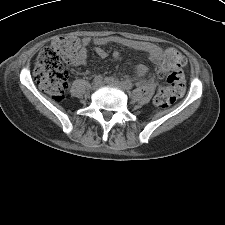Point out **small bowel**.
Listing matches in <instances>:
<instances>
[{
    "label": "small bowel",
    "instance_id": "1",
    "mask_svg": "<svg viewBox=\"0 0 225 225\" xmlns=\"http://www.w3.org/2000/svg\"><path fill=\"white\" fill-rule=\"evenodd\" d=\"M92 39L89 37H84L81 40V48L78 52L77 59L74 63L76 66H84L87 63V56H88V50L87 47L91 43ZM93 42L97 45L95 48L96 54L100 58H106L108 53L105 49H103L101 46H104L110 42V39L108 38H95L93 39ZM142 52L146 53L149 57V60L153 64H159L161 61V49L152 43H145L139 48ZM113 58L118 61L120 59V52L114 51L113 52ZM136 73L138 76L142 77L147 74V68L144 65H138L136 67Z\"/></svg>",
    "mask_w": 225,
    "mask_h": 225
}]
</instances>
